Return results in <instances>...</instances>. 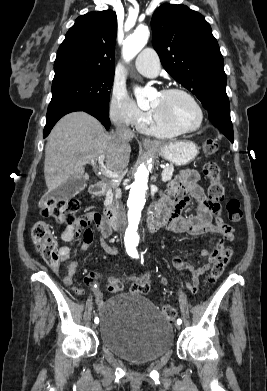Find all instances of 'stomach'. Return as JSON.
Segmentation results:
<instances>
[{"label":"stomach","instance_id":"1","mask_svg":"<svg viewBox=\"0 0 267 391\" xmlns=\"http://www.w3.org/2000/svg\"><path fill=\"white\" fill-rule=\"evenodd\" d=\"M149 149L159 153L167 161L177 166L189 164L199 154L197 144L189 140L177 141L170 144L157 142Z\"/></svg>","mask_w":267,"mask_h":391}]
</instances>
